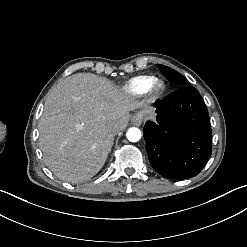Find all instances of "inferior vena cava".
I'll list each match as a JSON object with an SVG mask.
<instances>
[{
  "mask_svg": "<svg viewBox=\"0 0 247 247\" xmlns=\"http://www.w3.org/2000/svg\"><path fill=\"white\" fill-rule=\"evenodd\" d=\"M108 132H109V136L113 138L115 135H117L120 132V128L118 126L110 127Z\"/></svg>",
  "mask_w": 247,
  "mask_h": 247,
  "instance_id": "obj_1",
  "label": "inferior vena cava"
}]
</instances>
